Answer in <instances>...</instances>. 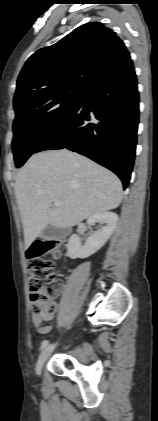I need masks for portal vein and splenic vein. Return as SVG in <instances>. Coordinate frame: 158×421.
<instances>
[{
  "mask_svg": "<svg viewBox=\"0 0 158 421\" xmlns=\"http://www.w3.org/2000/svg\"><path fill=\"white\" fill-rule=\"evenodd\" d=\"M54 206L55 207H60L61 206V202L58 201V200L54 201Z\"/></svg>",
  "mask_w": 158,
  "mask_h": 421,
  "instance_id": "1",
  "label": "portal vein and splenic vein"
}]
</instances>
